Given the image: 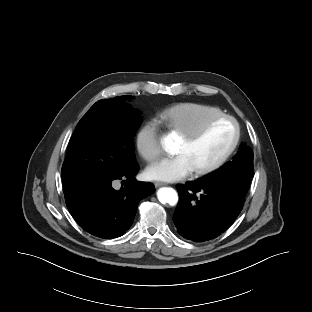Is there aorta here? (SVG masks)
I'll return each instance as SVG.
<instances>
[{"instance_id": "762f6f07", "label": "aorta", "mask_w": 312, "mask_h": 312, "mask_svg": "<svg viewBox=\"0 0 312 312\" xmlns=\"http://www.w3.org/2000/svg\"><path fill=\"white\" fill-rule=\"evenodd\" d=\"M162 146L164 148H170L172 141L169 136L163 137L161 139ZM157 197L162 204H169L174 206L178 202L177 192L170 187H163L158 190Z\"/></svg>"}]
</instances>
